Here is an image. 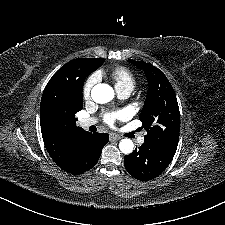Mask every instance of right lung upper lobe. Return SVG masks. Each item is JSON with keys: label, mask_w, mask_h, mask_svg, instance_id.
Segmentation results:
<instances>
[{"label": "right lung upper lobe", "mask_w": 225, "mask_h": 225, "mask_svg": "<svg viewBox=\"0 0 225 225\" xmlns=\"http://www.w3.org/2000/svg\"><path fill=\"white\" fill-rule=\"evenodd\" d=\"M97 59L78 58L66 63L52 76L44 89L40 106L41 133L49 155L59 167L69 163L74 143L89 132L76 126L77 119H52L47 108L63 109L67 104V97L63 93L67 83L77 73L87 77L95 71Z\"/></svg>", "instance_id": "1"}]
</instances>
